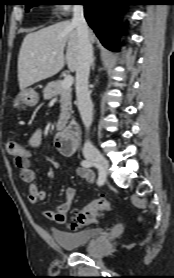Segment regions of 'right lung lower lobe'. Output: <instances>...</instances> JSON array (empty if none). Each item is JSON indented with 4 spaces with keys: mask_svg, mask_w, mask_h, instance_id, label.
<instances>
[{
    "mask_svg": "<svg viewBox=\"0 0 174 278\" xmlns=\"http://www.w3.org/2000/svg\"><path fill=\"white\" fill-rule=\"evenodd\" d=\"M84 5V15L101 43L116 49L117 39L122 30L119 25V13L124 10L125 0H80Z\"/></svg>",
    "mask_w": 174,
    "mask_h": 278,
    "instance_id": "right-lung-lower-lobe-1",
    "label": "right lung lower lobe"
}]
</instances>
